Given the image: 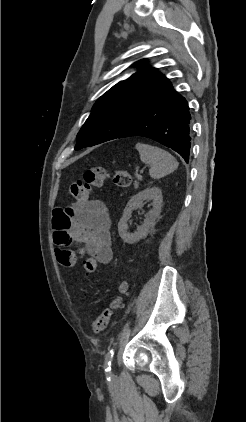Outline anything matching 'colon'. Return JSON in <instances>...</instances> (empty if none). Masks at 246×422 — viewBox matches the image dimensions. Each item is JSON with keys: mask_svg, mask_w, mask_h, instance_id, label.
Here are the masks:
<instances>
[{"mask_svg": "<svg viewBox=\"0 0 246 422\" xmlns=\"http://www.w3.org/2000/svg\"><path fill=\"white\" fill-rule=\"evenodd\" d=\"M109 173L105 167L95 166L87 169L84 173L83 181H74L70 187V194L77 200H87L96 188L103 185L108 178ZM114 183L119 187H128L131 183V176L126 170H117L114 176ZM58 262L65 267H72L78 261L77 254L69 249H61L56 252ZM86 273H93L97 269V261L93 258H86L83 262ZM125 292V284L119 286V295H117L102 313L92 322L94 333L102 332L108 325L113 313L121 305L120 294Z\"/></svg>", "mask_w": 246, "mask_h": 422, "instance_id": "5ec220e1", "label": "colon"}]
</instances>
